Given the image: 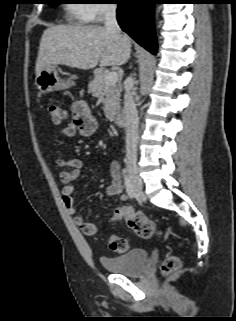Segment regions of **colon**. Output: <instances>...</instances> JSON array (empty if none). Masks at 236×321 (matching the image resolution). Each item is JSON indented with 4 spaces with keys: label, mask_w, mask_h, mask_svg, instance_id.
Segmentation results:
<instances>
[{
    "label": "colon",
    "mask_w": 236,
    "mask_h": 321,
    "mask_svg": "<svg viewBox=\"0 0 236 321\" xmlns=\"http://www.w3.org/2000/svg\"><path fill=\"white\" fill-rule=\"evenodd\" d=\"M48 112L52 121L59 124L64 118L63 109L56 103L48 104ZM115 219H125L128 227L142 239H150L160 234L154 221L129 207L116 210ZM109 248L118 253H124L129 249L128 241L118 235L112 234L108 239ZM181 269V262L178 257L170 256L162 264V273L165 276H174Z\"/></svg>",
    "instance_id": "5ec220e1"
}]
</instances>
